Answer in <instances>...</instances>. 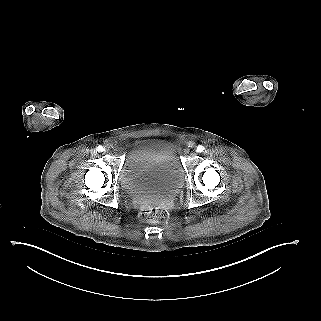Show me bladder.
I'll use <instances>...</instances> for the list:
<instances>
[{
    "instance_id": "1",
    "label": "bladder",
    "mask_w": 321,
    "mask_h": 321,
    "mask_svg": "<svg viewBox=\"0 0 321 321\" xmlns=\"http://www.w3.org/2000/svg\"><path fill=\"white\" fill-rule=\"evenodd\" d=\"M183 181V167L172 142L142 138L131 143L119 175L121 188L129 198H168L181 189Z\"/></svg>"
}]
</instances>
